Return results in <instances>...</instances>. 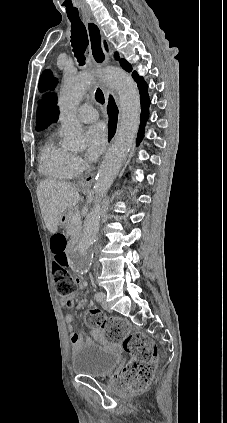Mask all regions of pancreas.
Listing matches in <instances>:
<instances>
[{"label": "pancreas", "mask_w": 227, "mask_h": 423, "mask_svg": "<svg viewBox=\"0 0 227 423\" xmlns=\"http://www.w3.org/2000/svg\"><path fill=\"white\" fill-rule=\"evenodd\" d=\"M73 213H77V211L69 210L67 223H66V231H67V235H70L71 239H78L81 233L82 225H80V223H73L72 221Z\"/></svg>", "instance_id": "1"}]
</instances>
